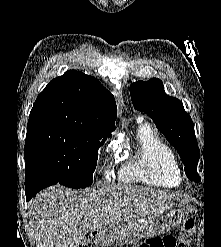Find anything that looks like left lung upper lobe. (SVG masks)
<instances>
[{
	"mask_svg": "<svg viewBox=\"0 0 221 247\" xmlns=\"http://www.w3.org/2000/svg\"><path fill=\"white\" fill-rule=\"evenodd\" d=\"M134 107L152 118L158 130L177 150L190 180L200 182L197 173L199 149L190 115L179 99L167 95L158 78L137 81L130 86Z\"/></svg>",
	"mask_w": 221,
	"mask_h": 247,
	"instance_id": "left-lung-upper-lobe-1",
	"label": "left lung upper lobe"
}]
</instances>
